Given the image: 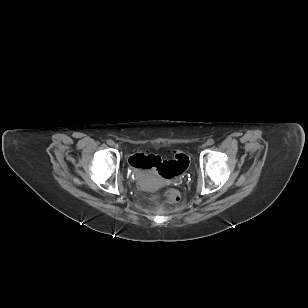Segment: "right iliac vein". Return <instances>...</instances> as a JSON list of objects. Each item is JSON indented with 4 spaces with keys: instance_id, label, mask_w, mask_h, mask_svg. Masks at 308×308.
<instances>
[{
    "instance_id": "1",
    "label": "right iliac vein",
    "mask_w": 308,
    "mask_h": 308,
    "mask_svg": "<svg viewBox=\"0 0 308 308\" xmlns=\"http://www.w3.org/2000/svg\"><path fill=\"white\" fill-rule=\"evenodd\" d=\"M111 146H114L115 148H118V145L113 143Z\"/></svg>"
}]
</instances>
